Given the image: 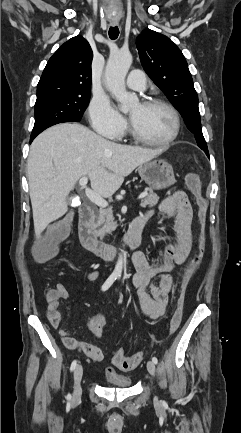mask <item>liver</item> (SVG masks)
Returning <instances> with one entry per match:
<instances>
[{
	"instance_id": "1",
	"label": "liver",
	"mask_w": 241,
	"mask_h": 433,
	"mask_svg": "<svg viewBox=\"0 0 241 433\" xmlns=\"http://www.w3.org/2000/svg\"><path fill=\"white\" fill-rule=\"evenodd\" d=\"M161 152L108 141L77 123L42 132L32 142L27 160L36 236L67 212L66 197L79 179L89 178L93 191L108 198L136 167Z\"/></svg>"
}]
</instances>
